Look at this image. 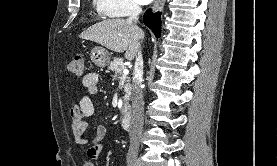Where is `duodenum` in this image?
Instances as JSON below:
<instances>
[{"mask_svg":"<svg viewBox=\"0 0 277 166\" xmlns=\"http://www.w3.org/2000/svg\"><path fill=\"white\" fill-rule=\"evenodd\" d=\"M121 126L124 130L129 131L132 128V117L130 114H125L121 120Z\"/></svg>","mask_w":277,"mask_h":166,"instance_id":"obj_1","label":"duodenum"}]
</instances>
